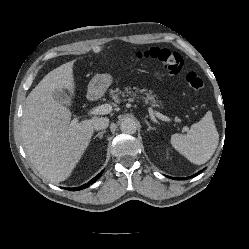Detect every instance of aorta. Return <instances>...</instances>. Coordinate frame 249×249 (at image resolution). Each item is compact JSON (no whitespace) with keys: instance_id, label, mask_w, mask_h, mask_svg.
Segmentation results:
<instances>
[{"instance_id":"1","label":"aorta","mask_w":249,"mask_h":249,"mask_svg":"<svg viewBox=\"0 0 249 249\" xmlns=\"http://www.w3.org/2000/svg\"><path fill=\"white\" fill-rule=\"evenodd\" d=\"M120 129L125 134H134L137 130V123L132 118H126L121 122Z\"/></svg>"}]
</instances>
